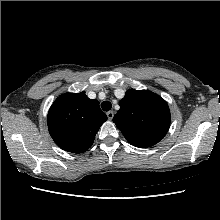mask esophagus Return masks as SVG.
Returning <instances> with one entry per match:
<instances>
[{
  "mask_svg": "<svg viewBox=\"0 0 220 220\" xmlns=\"http://www.w3.org/2000/svg\"><path fill=\"white\" fill-rule=\"evenodd\" d=\"M113 117H114V112H113V111H109V112L107 113V118H108L109 120H112Z\"/></svg>",
  "mask_w": 220,
  "mask_h": 220,
  "instance_id": "1",
  "label": "esophagus"
}]
</instances>
